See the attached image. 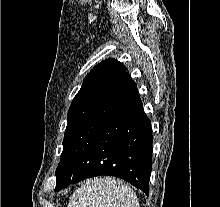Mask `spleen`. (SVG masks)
Returning <instances> with one entry per match:
<instances>
[{"mask_svg":"<svg viewBox=\"0 0 220 207\" xmlns=\"http://www.w3.org/2000/svg\"><path fill=\"white\" fill-rule=\"evenodd\" d=\"M67 207H139L134 191L111 177L88 180L70 197Z\"/></svg>","mask_w":220,"mask_h":207,"instance_id":"1","label":"spleen"}]
</instances>
